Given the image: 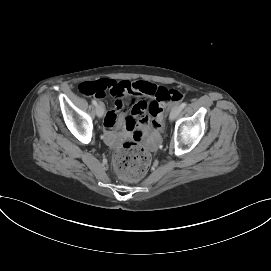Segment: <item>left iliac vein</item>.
Here are the masks:
<instances>
[{
  "mask_svg": "<svg viewBox=\"0 0 271 271\" xmlns=\"http://www.w3.org/2000/svg\"><path fill=\"white\" fill-rule=\"evenodd\" d=\"M181 110H182V109H181L180 106H175V107L171 110V112H170L169 119H170L171 121L174 120V119H176L177 116L180 114Z\"/></svg>",
  "mask_w": 271,
  "mask_h": 271,
  "instance_id": "obj_1",
  "label": "left iliac vein"
}]
</instances>
